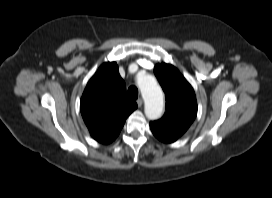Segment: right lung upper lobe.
I'll use <instances>...</instances> for the list:
<instances>
[{"mask_svg":"<svg viewBox=\"0 0 272 198\" xmlns=\"http://www.w3.org/2000/svg\"><path fill=\"white\" fill-rule=\"evenodd\" d=\"M137 108L126 95V85L115 62L104 63L88 82L80 111L91 136L108 144L119 135L126 118Z\"/></svg>","mask_w":272,"mask_h":198,"instance_id":"right-lung-upper-lobe-1","label":"right lung upper lobe"}]
</instances>
